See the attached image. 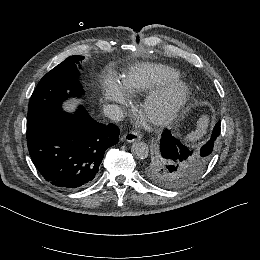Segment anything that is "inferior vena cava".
<instances>
[{
	"label": "inferior vena cava",
	"mask_w": 260,
	"mask_h": 260,
	"mask_svg": "<svg viewBox=\"0 0 260 260\" xmlns=\"http://www.w3.org/2000/svg\"><path fill=\"white\" fill-rule=\"evenodd\" d=\"M104 115L114 121H121L123 119V110L119 105H107L103 108Z\"/></svg>",
	"instance_id": "obj_1"
}]
</instances>
